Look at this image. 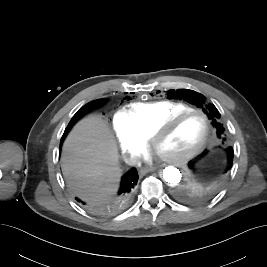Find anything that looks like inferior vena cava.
<instances>
[{
  "label": "inferior vena cava",
  "instance_id": "inferior-vena-cava-1",
  "mask_svg": "<svg viewBox=\"0 0 267 267\" xmlns=\"http://www.w3.org/2000/svg\"><path fill=\"white\" fill-rule=\"evenodd\" d=\"M124 161L128 165H132V166H135V165L139 166L141 164L140 160L136 156H125Z\"/></svg>",
  "mask_w": 267,
  "mask_h": 267
}]
</instances>
